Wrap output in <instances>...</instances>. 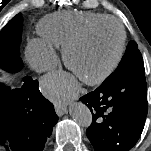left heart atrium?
Segmentation results:
<instances>
[{"instance_id": "1", "label": "left heart atrium", "mask_w": 151, "mask_h": 151, "mask_svg": "<svg viewBox=\"0 0 151 151\" xmlns=\"http://www.w3.org/2000/svg\"><path fill=\"white\" fill-rule=\"evenodd\" d=\"M43 92L57 104H63L79 91L78 79L66 72H52L42 79Z\"/></svg>"}]
</instances>
